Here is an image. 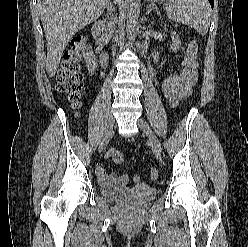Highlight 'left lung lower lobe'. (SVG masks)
<instances>
[{
    "label": "left lung lower lobe",
    "mask_w": 248,
    "mask_h": 247,
    "mask_svg": "<svg viewBox=\"0 0 248 247\" xmlns=\"http://www.w3.org/2000/svg\"><path fill=\"white\" fill-rule=\"evenodd\" d=\"M210 4H211V7L213 8V5H214V0H209Z\"/></svg>",
    "instance_id": "obj_1"
}]
</instances>
